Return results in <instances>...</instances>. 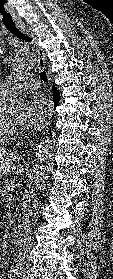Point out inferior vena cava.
<instances>
[{
  "label": "inferior vena cava",
  "instance_id": "602c4592",
  "mask_svg": "<svg viewBox=\"0 0 113 279\" xmlns=\"http://www.w3.org/2000/svg\"><path fill=\"white\" fill-rule=\"evenodd\" d=\"M23 217L21 224V238L18 244L15 268L20 274L30 273L29 253H30V241H31V224H30V205L27 202L23 204Z\"/></svg>",
  "mask_w": 113,
  "mask_h": 279
}]
</instances>
